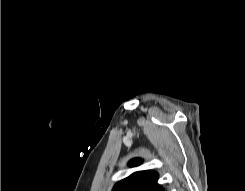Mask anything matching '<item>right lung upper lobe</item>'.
I'll use <instances>...</instances> for the list:
<instances>
[{"instance_id":"cb5924a9","label":"right lung upper lobe","mask_w":245,"mask_h":191,"mask_svg":"<svg viewBox=\"0 0 245 191\" xmlns=\"http://www.w3.org/2000/svg\"><path fill=\"white\" fill-rule=\"evenodd\" d=\"M141 159H133L130 166H138ZM158 173L151 170L138 171L118 182L112 191H164L157 183Z\"/></svg>"}]
</instances>
